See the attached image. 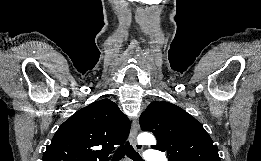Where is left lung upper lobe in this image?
Here are the masks:
<instances>
[{"instance_id":"obj_1","label":"left lung upper lobe","mask_w":261,"mask_h":161,"mask_svg":"<svg viewBox=\"0 0 261 161\" xmlns=\"http://www.w3.org/2000/svg\"><path fill=\"white\" fill-rule=\"evenodd\" d=\"M140 125L153 132L157 145L152 148L167 151L169 161H221L201 123L172 103L152 102L141 114Z\"/></svg>"}]
</instances>
